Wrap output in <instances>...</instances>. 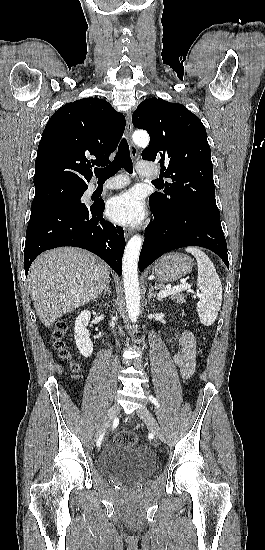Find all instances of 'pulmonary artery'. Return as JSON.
I'll return each mask as SVG.
<instances>
[{
    "instance_id": "obj_1",
    "label": "pulmonary artery",
    "mask_w": 265,
    "mask_h": 550,
    "mask_svg": "<svg viewBox=\"0 0 265 550\" xmlns=\"http://www.w3.org/2000/svg\"><path fill=\"white\" fill-rule=\"evenodd\" d=\"M138 171L145 176H151L155 177L158 175V173L152 169L145 168V162L140 161L138 162ZM129 184V179L125 175L117 176L107 182L104 183L102 186V189L109 190V189H119L127 186ZM97 185H92L88 189V193H93L97 189Z\"/></svg>"
}]
</instances>
